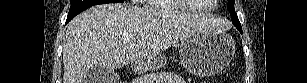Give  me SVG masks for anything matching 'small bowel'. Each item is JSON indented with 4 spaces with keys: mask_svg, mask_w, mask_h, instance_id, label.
I'll return each mask as SVG.
<instances>
[{
    "mask_svg": "<svg viewBox=\"0 0 307 83\" xmlns=\"http://www.w3.org/2000/svg\"><path fill=\"white\" fill-rule=\"evenodd\" d=\"M156 83H183L182 79L173 73H162Z\"/></svg>",
    "mask_w": 307,
    "mask_h": 83,
    "instance_id": "small-bowel-1",
    "label": "small bowel"
}]
</instances>
